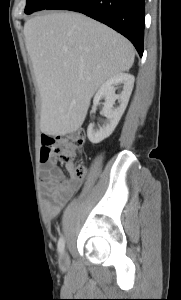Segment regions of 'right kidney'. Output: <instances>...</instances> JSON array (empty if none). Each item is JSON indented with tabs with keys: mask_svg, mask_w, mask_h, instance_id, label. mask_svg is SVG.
I'll list each match as a JSON object with an SVG mask.
<instances>
[{
	"mask_svg": "<svg viewBox=\"0 0 181 300\" xmlns=\"http://www.w3.org/2000/svg\"><path fill=\"white\" fill-rule=\"evenodd\" d=\"M134 76L128 73H118L106 80L94 96L93 103L97 105L104 98L105 103L102 109V115L106 117V122L99 129H94L91 123L87 129L88 139L91 143L97 144L109 137L118 125L128 104L132 89L134 86ZM123 87V91L115 94L116 87ZM118 100L119 106L114 108L115 101Z\"/></svg>",
	"mask_w": 181,
	"mask_h": 300,
	"instance_id": "ca27d5eb",
	"label": "right kidney"
}]
</instances>
